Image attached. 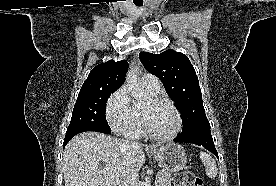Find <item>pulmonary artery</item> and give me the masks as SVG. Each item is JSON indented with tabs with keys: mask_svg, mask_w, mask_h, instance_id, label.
<instances>
[{
	"mask_svg": "<svg viewBox=\"0 0 276 186\" xmlns=\"http://www.w3.org/2000/svg\"><path fill=\"white\" fill-rule=\"evenodd\" d=\"M142 85L147 88L148 90L158 93L160 91V82L158 78L152 74L146 73L143 75L141 79Z\"/></svg>",
	"mask_w": 276,
	"mask_h": 186,
	"instance_id": "pulmonary-artery-1",
	"label": "pulmonary artery"
}]
</instances>
